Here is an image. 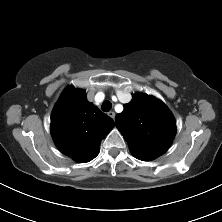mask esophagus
Returning a JSON list of instances; mask_svg holds the SVG:
<instances>
[{"label": "esophagus", "mask_w": 222, "mask_h": 222, "mask_svg": "<svg viewBox=\"0 0 222 222\" xmlns=\"http://www.w3.org/2000/svg\"><path fill=\"white\" fill-rule=\"evenodd\" d=\"M107 115H108L109 117H111L112 119L115 118V113H114L113 111L108 112Z\"/></svg>", "instance_id": "34e87169"}]
</instances>
